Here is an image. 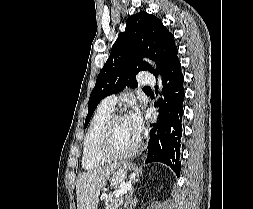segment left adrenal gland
Masks as SVG:
<instances>
[{
  "instance_id": "a2214340",
  "label": "left adrenal gland",
  "mask_w": 253,
  "mask_h": 209,
  "mask_svg": "<svg viewBox=\"0 0 253 209\" xmlns=\"http://www.w3.org/2000/svg\"><path fill=\"white\" fill-rule=\"evenodd\" d=\"M132 194H133V190H131L130 191V195L128 196V200H127V204H130V209H131V207H132V205H133V200H132Z\"/></svg>"
}]
</instances>
